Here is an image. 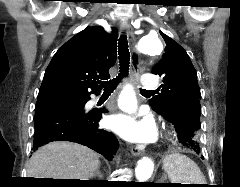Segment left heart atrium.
I'll list each match as a JSON object with an SVG mask.
<instances>
[{
	"mask_svg": "<svg viewBox=\"0 0 240 187\" xmlns=\"http://www.w3.org/2000/svg\"><path fill=\"white\" fill-rule=\"evenodd\" d=\"M109 126L122 137L133 142H150L156 135L155 124L151 118L136 121L131 117L120 115L109 120Z\"/></svg>",
	"mask_w": 240,
	"mask_h": 187,
	"instance_id": "obj_1",
	"label": "left heart atrium"
}]
</instances>
